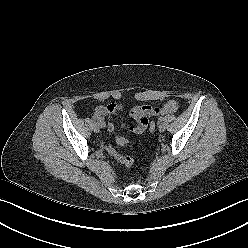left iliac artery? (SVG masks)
I'll use <instances>...</instances> for the list:
<instances>
[{"mask_svg": "<svg viewBox=\"0 0 248 248\" xmlns=\"http://www.w3.org/2000/svg\"><path fill=\"white\" fill-rule=\"evenodd\" d=\"M163 120H164V118H163V117H160V118H159V121H160V122H162Z\"/></svg>", "mask_w": 248, "mask_h": 248, "instance_id": "left-iliac-artery-1", "label": "left iliac artery"}]
</instances>
